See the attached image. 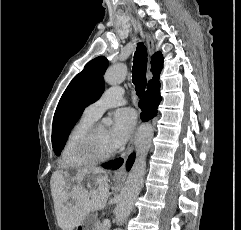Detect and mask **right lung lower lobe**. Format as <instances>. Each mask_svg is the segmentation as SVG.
I'll return each instance as SVG.
<instances>
[{
    "instance_id": "right-lung-lower-lobe-1",
    "label": "right lung lower lobe",
    "mask_w": 241,
    "mask_h": 230,
    "mask_svg": "<svg viewBox=\"0 0 241 230\" xmlns=\"http://www.w3.org/2000/svg\"><path fill=\"white\" fill-rule=\"evenodd\" d=\"M161 100L159 80L148 84L147 91L139 102V107L142 110V121H148L156 116L157 108Z\"/></svg>"
}]
</instances>
